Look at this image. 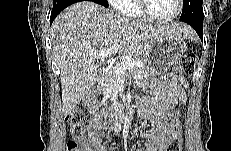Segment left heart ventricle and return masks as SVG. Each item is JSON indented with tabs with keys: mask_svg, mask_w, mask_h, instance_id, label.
I'll return each mask as SVG.
<instances>
[{
	"mask_svg": "<svg viewBox=\"0 0 231 151\" xmlns=\"http://www.w3.org/2000/svg\"><path fill=\"white\" fill-rule=\"evenodd\" d=\"M147 10L150 15L165 18L176 11V0H147Z\"/></svg>",
	"mask_w": 231,
	"mask_h": 151,
	"instance_id": "left-heart-ventricle-1",
	"label": "left heart ventricle"
}]
</instances>
